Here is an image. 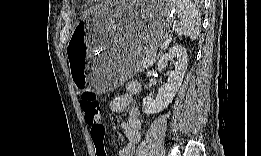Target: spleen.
<instances>
[{
  "label": "spleen",
  "instance_id": "obj_1",
  "mask_svg": "<svg viewBox=\"0 0 261 156\" xmlns=\"http://www.w3.org/2000/svg\"><path fill=\"white\" fill-rule=\"evenodd\" d=\"M172 9L178 14L179 20L174 24V29L179 36L197 39L199 34V14L195 4L190 0H180L176 2Z\"/></svg>",
  "mask_w": 261,
  "mask_h": 156
}]
</instances>
